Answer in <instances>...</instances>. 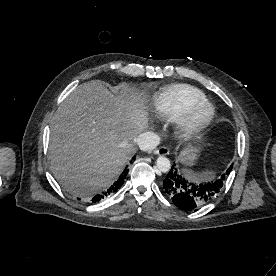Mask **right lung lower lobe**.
I'll list each match as a JSON object with an SVG mask.
<instances>
[{"label": "right lung lower lobe", "instance_id": "obj_1", "mask_svg": "<svg viewBox=\"0 0 276 276\" xmlns=\"http://www.w3.org/2000/svg\"><path fill=\"white\" fill-rule=\"evenodd\" d=\"M128 172V169H125V172L123 174L120 175V177L117 179V181L114 182V184L107 189V191H105L102 194H98L95 197H93L92 201L93 202H98L102 199H104L105 197L114 194L124 183V179H125V175Z\"/></svg>", "mask_w": 276, "mask_h": 276}]
</instances>
